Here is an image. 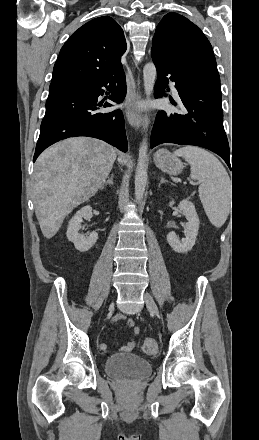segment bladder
<instances>
[{
	"label": "bladder",
	"mask_w": 259,
	"mask_h": 440,
	"mask_svg": "<svg viewBox=\"0 0 259 440\" xmlns=\"http://www.w3.org/2000/svg\"><path fill=\"white\" fill-rule=\"evenodd\" d=\"M105 373L115 379L140 380L152 372L147 359L134 353H116L108 356L104 362Z\"/></svg>",
	"instance_id": "obj_1"
}]
</instances>
